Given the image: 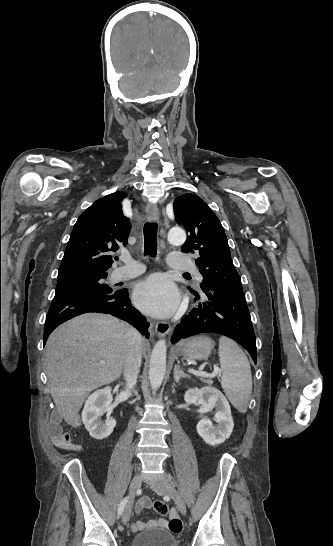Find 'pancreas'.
Wrapping results in <instances>:
<instances>
[{"label": "pancreas", "instance_id": "obj_1", "mask_svg": "<svg viewBox=\"0 0 333 546\" xmlns=\"http://www.w3.org/2000/svg\"><path fill=\"white\" fill-rule=\"evenodd\" d=\"M200 380L205 382V383H208V384H211L212 383V380L209 379V378H206V377H200Z\"/></svg>", "mask_w": 333, "mask_h": 546}]
</instances>
